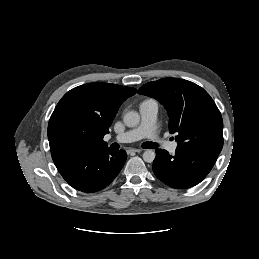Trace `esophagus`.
I'll use <instances>...</instances> for the list:
<instances>
[{
	"mask_svg": "<svg viewBox=\"0 0 259 259\" xmlns=\"http://www.w3.org/2000/svg\"><path fill=\"white\" fill-rule=\"evenodd\" d=\"M141 151V149H129L128 153H140Z\"/></svg>",
	"mask_w": 259,
	"mask_h": 259,
	"instance_id": "obj_1",
	"label": "esophagus"
}]
</instances>
